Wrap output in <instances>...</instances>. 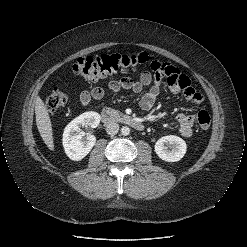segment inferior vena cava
Returning a JSON list of instances; mask_svg holds the SVG:
<instances>
[{
    "label": "inferior vena cava",
    "mask_w": 247,
    "mask_h": 247,
    "mask_svg": "<svg viewBox=\"0 0 247 247\" xmlns=\"http://www.w3.org/2000/svg\"><path fill=\"white\" fill-rule=\"evenodd\" d=\"M119 131V125L115 122H110L106 125V132L109 135H115Z\"/></svg>",
    "instance_id": "1"
}]
</instances>
